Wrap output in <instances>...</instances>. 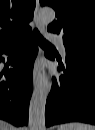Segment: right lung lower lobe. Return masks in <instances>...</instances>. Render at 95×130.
<instances>
[{"mask_svg":"<svg viewBox=\"0 0 95 130\" xmlns=\"http://www.w3.org/2000/svg\"><path fill=\"white\" fill-rule=\"evenodd\" d=\"M38 52L32 32L16 43L0 49L2 54L13 53L14 69L0 72V118L16 126L28 124V106L33 89V62Z\"/></svg>","mask_w":95,"mask_h":130,"instance_id":"right-lung-lower-lobe-1","label":"right lung lower lobe"}]
</instances>
